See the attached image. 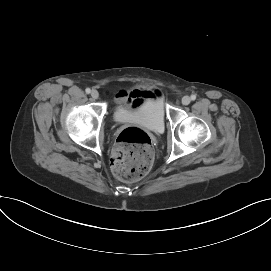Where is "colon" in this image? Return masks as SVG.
Instances as JSON below:
<instances>
[{"label": "colon", "instance_id": "obj_1", "mask_svg": "<svg viewBox=\"0 0 271 271\" xmlns=\"http://www.w3.org/2000/svg\"><path fill=\"white\" fill-rule=\"evenodd\" d=\"M153 148L149 134L138 127H128L117 137L111 155V170L122 181L144 177L153 163Z\"/></svg>", "mask_w": 271, "mask_h": 271}]
</instances>
